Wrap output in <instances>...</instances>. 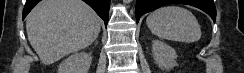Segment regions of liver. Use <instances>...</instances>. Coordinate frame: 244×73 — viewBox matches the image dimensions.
I'll use <instances>...</instances> for the list:
<instances>
[{
  "mask_svg": "<svg viewBox=\"0 0 244 73\" xmlns=\"http://www.w3.org/2000/svg\"><path fill=\"white\" fill-rule=\"evenodd\" d=\"M101 20L81 0H42L26 18L28 40L43 64L91 45Z\"/></svg>",
  "mask_w": 244,
  "mask_h": 73,
  "instance_id": "6515ba94",
  "label": "liver"
}]
</instances>
